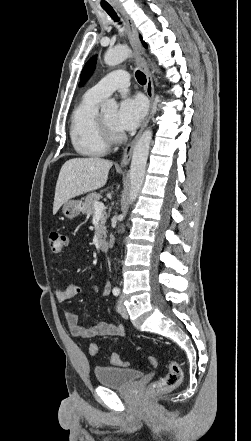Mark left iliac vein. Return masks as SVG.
I'll list each match as a JSON object with an SVG mask.
<instances>
[{
	"mask_svg": "<svg viewBox=\"0 0 251 441\" xmlns=\"http://www.w3.org/2000/svg\"><path fill=\"white\" fill-rule=\"evenodd\" d=\"M119 308H120V313L122 315L123 318L128 319V312L126 307L124 306L122 299H120V304H119Z\"/></svg>",
	"mask_w": 251,
	"mask_h": 441,
	"instance_id": "1",
	"label": "left iliac vein"
}]
</instances>
